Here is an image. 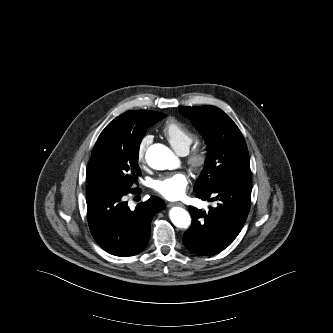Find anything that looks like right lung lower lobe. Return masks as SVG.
<instances>
[{
  "label": "right lung lower lobe",
  "mask_w": 333,
  "mask_h": 333,
  "mask_svg": "<svg viewBox=\"0 0 333 333\" xmlns=\"http://www.w3.org/2000/svg\"><path fill=\"white\" fill-rule=\"evenodd\" d=\"M139 189H87V218L96 242L108 253L127 257L140 253L150 237L153 216L165 208L162 199L152 196L130 210L123 196Z\"/></svg>",
  "instance_id": "right-lung-lower-lobe-1"
}]
</instances>
